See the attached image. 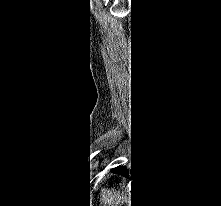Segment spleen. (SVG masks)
<instances>
[{"instance_id":"3e777b00","label":"spleen","mask_w":221,"mask_h":206,"mask_svg":"<svg viewBox=\"0 0 221 206\" xmlns=\"http://www.w3.org/2000/svg\"><path fill=\"white\" fill-rule=\"evenodd\" d=\"M128 198L123 195L121 191L112 189L111 191H106L102 194L101 202L103 206H125L127 204Z\"/></svg>"}]
</instances>
